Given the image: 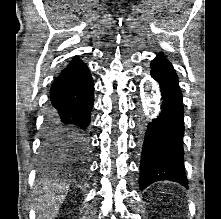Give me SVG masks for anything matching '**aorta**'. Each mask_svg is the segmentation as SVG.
I'll list each match as a JSON object with an SVG mask.
<instances>
[{"mask_svg":"<svg viewBox=\"0 0 221 219\" xmlns=\"http://www.w3.org/2000/svg\"><path fill=\"white\" fill-rule=\"evenodd\" d=\"M144 89L147 92L148 96L152 95L154 92V88L150 85H144ZM152 107V99L147 97L146 102L144 103L145 111L149 110Z\"/></svg>","mask_w":221,"mask_h":219,"instance_id":"762f6f07","label":"aorta"}]
</instances>
